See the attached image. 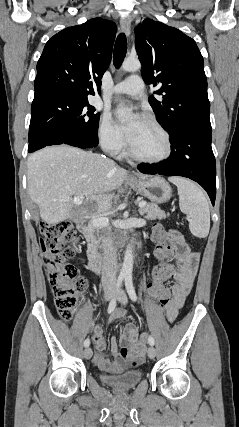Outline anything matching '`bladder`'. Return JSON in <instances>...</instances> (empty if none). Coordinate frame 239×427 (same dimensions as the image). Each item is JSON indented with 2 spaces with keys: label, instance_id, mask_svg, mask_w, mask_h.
I'll return each mask as SVG.
<instances>
[{
  "label": "bladder",
  "instance_id": "bladder-1",
  "mask_svg": "<svg viewBox=\"0 0 239 427\" xmlns=\"http://www.w3.org/2000/svg\"><path fill=\"white\" fill-rule=\"evenodd\" d=\"M142 379L140 370L131 369L115 375L102 374L100 380L107 386L117 390H128L136 386Z\"/></svg>",
  "mask_w": 239,
  "mask_h": 427
}]
</instances>
